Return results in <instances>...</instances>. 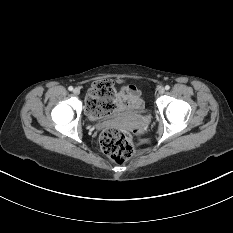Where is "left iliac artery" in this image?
Wrapping results in <instances>:
<instances>
[{"mask_svg":"<svg viewBox=\"0 0 233 233\" xmlns=\"http://www.w3.org/2000/svg\"><path fill=\"white\" fill-rule=\"evenodd\" d=\"M165 89H166V90H169V89H170V86H169V85H166V86H165Z\"/></svg>","mask_w":233,"mask_h":233,"instance_id":"left-iliac-artery-1","label":"left iliac artery"}]
</instances>
